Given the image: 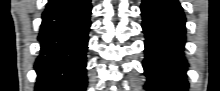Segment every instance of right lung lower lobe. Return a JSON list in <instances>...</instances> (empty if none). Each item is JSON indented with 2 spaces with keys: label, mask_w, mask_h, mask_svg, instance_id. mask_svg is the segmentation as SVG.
<instances>
[{
  "label": "right lung lower lobe",
  "mask_w": 220,
  "mask_h": 91,
  "mask_svg": "<svg viewBox=\"0 0 220 91\" xmlns=\"http://www.w3.org/2000/svg\"><path fill=\"white\" fill-rule=\"evenodd\" d=\"M90 0H49L42 14L35 89L85 91Z\"/></svg>",
  "instance_id": "98d812e1"
}]
</instances>
